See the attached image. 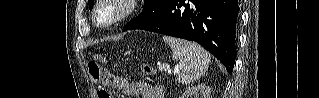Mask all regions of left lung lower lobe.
Masks as SVG:
<instances>
[{"mask_svg":"<svg viewBox=\"0 0 319 98\" xmlns=\"http://www.w3.org/2000/svg\"><path fill=\"white\" fill-rule=\"evenodd\" d=\"M238 13V0H164L161 14L138 29L196 41L231 73Z\"/></svg>","mask_w":319,"mask_h":98,"instance_id":"obj_1","label":"left lung lower lobe"}]
</instances>
